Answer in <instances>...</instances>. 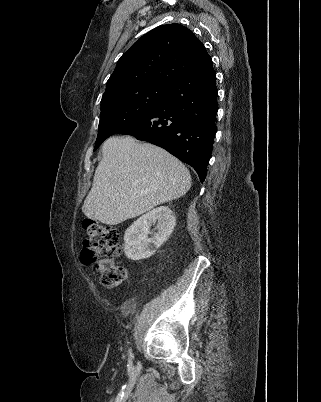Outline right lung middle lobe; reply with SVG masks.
<instances>
[{
	"mask_svg": "<svg viewBox=\"0 0 321 402\" xmlns=\"http://www.w3.org/2000/svg\"><path fill=\"white\" fill-rule=\"evenodd\" d=\"M168 86L149 84L112 93L101 100V116L94 151L127 125L142 118L167 97Z\"/></svg>",
	"mask_w": 321,
	"mask_h": 402,
	"instance_id": "right-lung-middle-lobe-1",
	"label": "right lung middle lobe"
}]
</instances>
